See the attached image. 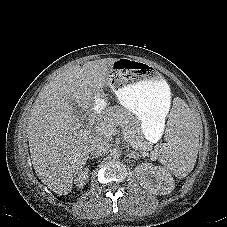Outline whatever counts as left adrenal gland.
<instances>
[{
    "label": "left adrenal gland",
    "mask_w": 227,
    "mask_h": 227,
    "mask_svg": "<svg viewBox=\"0 0 227 227\" xmlns=\"http://www.w3.org/2000/svg\"><path fill=\"white\" fill-rule=\"evenodd\" d=\"M132 155H133V156L137 155V152L133 151V152H132Z\"/></svg>",
    "instance_id": "left-adrenal-gland-1"
}]
</instances>
